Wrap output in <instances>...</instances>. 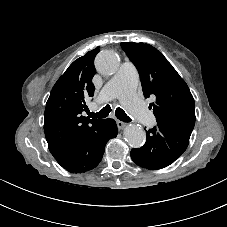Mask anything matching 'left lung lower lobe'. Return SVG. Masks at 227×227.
<instances>
[{
    "instance_id": "0a47b994",
    "label": "left lung lower lobe",
    "mask_w": 227,
    "mask_h": 227,
    "mask_svg": "<svg viewBox=\"0 0 227 227\" xmlns=\"http://www.w3.org/2000/svg\"><path fill=\"white\" fill-rule=\"evenodd\" d=\"M146 135V143L132 149L131 158L137 165L151 170L172 164L184 153L190 139V135L161 123L146 131Z\"/></svg>"
}]
</instances>
